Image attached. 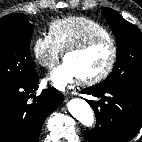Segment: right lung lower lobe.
<instances>
[{
  "label": "right lung lower lobe",
  "instance_id": "obj_1",
  "mask_svg": "<svg viewBox=\"0 0 142 142\" xmlns=\"http://www.w3.org/2000/svg\"><path fill=\"white\" fill-rule=\"evenodd\" d=\"M38 82L36 74L26 83L0 90V142H38L46 117L63 102L59 91L49 89L30 102Z\"/></svg>",
  "mask_w": 142,
  "mask_h": 142
}]
</instances>
